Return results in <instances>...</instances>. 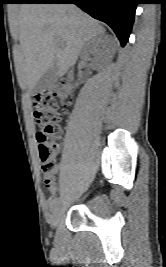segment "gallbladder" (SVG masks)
<instances>
[{"label": "gallbladder", "instance_id": "1", "mask_svg": "<svg viewBox=\"0 0 166 267\" xmlns=\"http://www.w3.org/2000/svg\"><path fill=\"white\" fill-rule=\"evenodd\" d=\"M59 73V66L57 63H54L51 68H49L39 79L33 90L32 94L42 93L48 88H51L57 81Z\"/></svg>", "mask_w": 166, "mask_h": 267}]
</instances>
